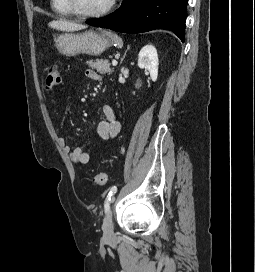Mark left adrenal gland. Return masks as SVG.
<instances>
[{
  "label": "left adrenal gland",
  "mask_w": 255,
  "mask_h": 272,
  "mask_svg": "<svg viewBox=\"0 0 255 272\" xmlns=\"http://www.w3.org/2000/svg\"><path fill=\"white\" fill-rule=\"evenodd\" d=\"M129 49H130V47L128 46V47H127V50L125 51V53H124V55H123V57L121 58L120 63L123 62V60H124V58H125V56H126V53H127V51H128Z\"/></svg>",
  "instance_id": "1"
}]
</instances>
